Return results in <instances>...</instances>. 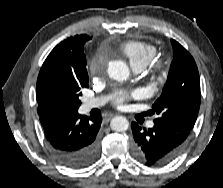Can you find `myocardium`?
Returning a JSON list of instances; mask_svg holds the SVG:
<instances>
[{
  "instance_id": "f54148a6",
  "label": "myocardium",
  "mask_w": 223,
  "mask_h": 188,
  "mask_svg": "<svg viewBox=\"0 0 223 188\" xmlns=\"http://www.w3.org/2000/svg\"><path fill=\"white\" fill-rule=\"evenodd\" d=\"M153 70L157 74H163V72L166 70V63L163 61H157L153 65Z\"/></svg>"
}]
</instances>
